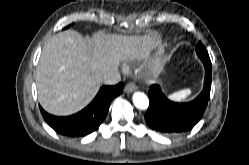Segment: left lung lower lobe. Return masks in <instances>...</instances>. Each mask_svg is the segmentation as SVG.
Segmentation results:
<instances>
[{"label": "left lung lower lobe", "instance_id": "left-lung-lower-lobe-1", "mask_svg": "<svg viewBox=\"0 0 249 165\" xmlns=\"http://www.w3.org/2000/svg\"><path fill=\"white\" fill-rule=\"evenodd\" d=\"M204 89L200 95L188 103L170 101L158 85L150 86V104L145 113L147 125L160 133L177 135L190 131L202 118L211 90V64H204Z\"/></svg>", "mask_w": 249, "mask_h": 165}]
</instances>
